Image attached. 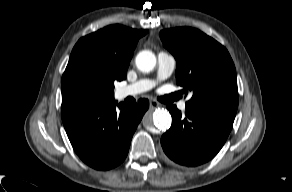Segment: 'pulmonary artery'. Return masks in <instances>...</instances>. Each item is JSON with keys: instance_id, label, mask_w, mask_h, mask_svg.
I'll use <instances>...</instances> for the list:
<instances>
[{"instance_id": "pulmonary-artery-1", "label": "pulmonary artery", "mask_w": 292, "mask_h": 192, "mask_svg": "<svg viewBox=\"0 0 292 192\" xmlns=\"http://www.w3.org/2000/svg\"><path fill=\"white\" fill-rule=\"evenodd\" d=\"M158 69L157 76L155 79H141L127 86L121 87L117 90V96L120 99L128 96H135L151 90L160 81L169 78L175 70L176 60L173 55L161 51L157 55ZM181 111L186 110V103L181 102L179 104Z\"/></svg>"}]
</instances>
